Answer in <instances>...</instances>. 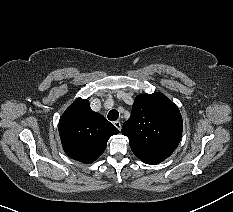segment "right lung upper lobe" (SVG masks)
Here are the masks:
<instances>
[{"label": "right lung upper lobe", "mask_w": 233, "mask_h": 212, "mask_svg": "<svg viewBox=\"0 0 233 212\" xmlns=\"http://www.w3.org/2000/svg\"><path fill=\"white\" fill-rule=\"evenodd\" d=\"M119 130L101 114L92 111L88 100L78 98L59 120V134L65 153L89 164L106 149L108 139Z\"/></svg>", "instance_id": "cb5924a9"}]
</instances>
